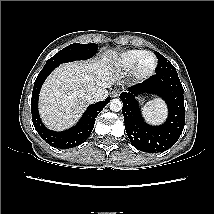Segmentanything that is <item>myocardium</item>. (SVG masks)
I'll use <instances>...</instances> for the list:
<instances>
[{"mask_svg":"<svg viewBox=\"0 0 214 214\" xmlns=\"http://www.w3.org/2000/svg\"><path fill=\"white\" fill-rule=\"evenodd\" d=\"M146 56H151L154 59V63L152 65V67L149 68V69H143V67H142L143 60H144V58ZM157 67H158V59H157L156 55L154 53H152V52L146 51L139 58V60L136 62V64L134 65V67H133V76L137 80H140V81L149 79L150 77H152L155 74V72L157 70Z\"/></svg>","mask_w":214,"mask_h":214,"instance_id":"1","label":"myocardium"}]
</instances>
